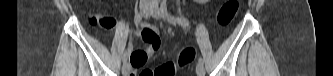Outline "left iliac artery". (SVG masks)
<instances>
[{"instance_id": "obj_1", "label": "left iliac artery", "mask_w": 333, "mask_h": 76, "mask_svg": "<svg viewBox=\"0 0 333 76\" xmlns=\"http://www.w3.org/2000/svg\"><path fill=\"white\" fill-rule=\"evenodd\" d=\"M161 11H162L166 16H169L168 11H167L166 2H165V1H162V3H161ZM172 18H174V17H172ZM174 19H175V21H176L179 25H181V26H183V27H185V26L187 25V23H188L187 20H186V18L183 17L182 15H179V16L175 17ZM198 61H199V63H202V64H203V59H202L201 57H199Z\"/></svg>"}]
</instances>
